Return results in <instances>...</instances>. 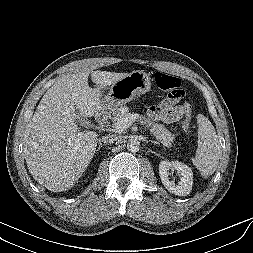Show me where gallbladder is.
Here are the masks:
<instances>
[{"label": "gallbladder", "mask_w": 253, "mask_h": 253, "mask_svg": "<svg viewBox=\"0 0 253 253\" xmlns=\"http://www.w3.org/2000/svg\"><path fill=\"white\" fill-rule=\"evenodd\" d=\"M81 126L83 127H90L91 124L90 122L87 120V118L83 117V116H80L77 120H76Z\"/></svg>", "instance_id": "gallbladder-1"}]
</instances>
